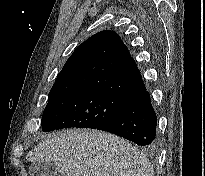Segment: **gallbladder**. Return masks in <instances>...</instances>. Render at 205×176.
<instances>
[{
  "label": "gallbladder",
  "mask_w": 205,
  "mask_h": 176,
  "mask_svg": "<svg viewBox=\"0 0 205 176\" xmlns=\"http://www.w3.org/2000/svg\"><path fill=\"white\" fill-rule=\"evenodd\" d=\"M30 176H60L58 168L50 162L33 163L29 167Z\"/></svg>",
  "instance_id": "gallbladder-1"
}]
</instances>
